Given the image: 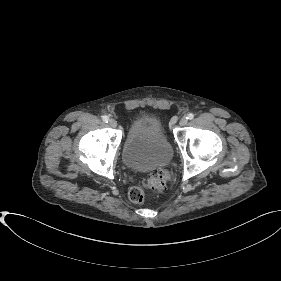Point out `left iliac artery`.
Masks as SVG:
<instances>
[{
    "label": "left iliac artery",
    "instance_id": "44dca946",
    "mask_svg": "<svg viewBox=\"0 0 281 281\" xmlns=\"http://www.w3.org/2000/svg\"><path fill=\"white\" fill-rule=\"evenodd\" d=\"M186 118L188 120H192L194 118V114L193 113H189Z\"/></svg>",
    "mask_w": 281,
    "mask_h": 281
}]
</instances>
